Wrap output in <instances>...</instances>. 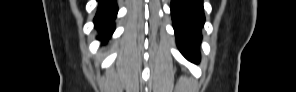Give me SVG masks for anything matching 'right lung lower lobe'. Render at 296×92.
<instances>
[{"label": "right lung lower lobe", "mask_w": 296, "mask_h": 92, "mask_svg": "<svg viewBox=\"0 0 296 92\" xmlns=\"http://www.w3.org/2000/svg\"><path fill=\"white\" fill-rule=\"evenodd\" d=\"M118 12L115 0H99L98 11L94 18L95 27L99 29V40L107 41L114 32V20Z\"/></svg>", "instance_id": "98d812e1"}]
</instances>
